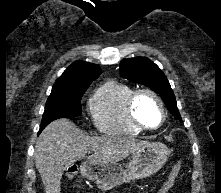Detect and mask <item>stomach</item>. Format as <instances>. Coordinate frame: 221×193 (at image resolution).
Listing matches in <instances>:
<instances>
[{
	"label": "stomach",
	"mask_w": 221,
	"mask_h": 193,
	"mask_svg": "<svg viewBox=\"0 0 221 193\" xmlns=\"http://www.w3.org/2000/svg\"><path fill=\"white\" fill-rule=\"evenodd\" d=\"M170 155L162 143H149L136 150L125 169L121 165H97L89 161L80 166L82 176L93 181L100 190H110L123 182L145 178L158 172Z\"/></svg>",
	"instance_id": "0dacf381"
}]
</instances>
